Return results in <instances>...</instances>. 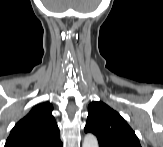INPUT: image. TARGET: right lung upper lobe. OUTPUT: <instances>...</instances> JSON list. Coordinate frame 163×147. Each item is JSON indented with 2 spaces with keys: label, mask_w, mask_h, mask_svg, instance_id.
Returning a JSON list of instances; mask_svg holds the SVG:
<instances>
[{
  "label": "right lung upper lobe",
  "mask_w": 163,
  "mask_h": 147,
  "mask_svg": "<svg viewBox=\"0 0 163 147\" xmlns=\"http://www.w3.org/2000/svg\"><path fill=\"white\" fill-rule=\"evenodd\" d=\"M52 110L49 103L35 106L14 126L5 147H50L61 142Z\"/></svg>",
  "instance_id": "obj_1"
}]
</instances>
